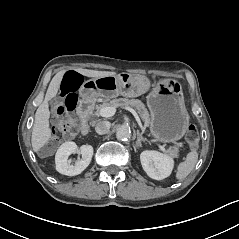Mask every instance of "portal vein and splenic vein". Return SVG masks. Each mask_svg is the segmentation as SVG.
Returning <instances> with one entry per match:
<instances>
[{"instance_id":"1","label":"portal vein and splenic vein","mask_w":239,"mask_h":239,"mask_svg":"<svg viewBox=\"0 0 239 239\" xmlns=\"http://www.w3.org/2000/svg\"><path fill=\"white\" fill-rule=\"evenodd\" d=\"M126 110L134 115L137 123L139 124V127H141L140 129L142 130V132L144 134L148 135L149 133L146 132L144 128H142V122H141V120H139L138 115L136 114V111H134L130 107H126ZM115 112H116L115 107H104V108L100 109L99 115L102 117H111L115 114ZM156 146L157 147L159 146V149H161L163 153H166V154L168 153V151L166 149H164V147H162V145L157 144Z\"/></svg>"}]
</instances>
